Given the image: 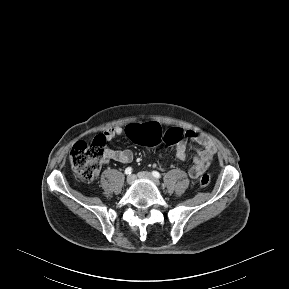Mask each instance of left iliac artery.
Instances as JSON below:
<instances>
[{
	"instance_id": "44dca946",
	"label": "left iliac artery",
	"mask_w": 289,
	"mask_h": 289,
	"mask_svg": "<svg viewBox=\"0 0 289 289\" xmlns=\"http://www.w3.org/2000/svg\"><path fill=\"white\" fill-rule=\"evenodd\" d=\"M152 175H153L155 178H157V179L161 178L160 173L157 172V171H152Z\"/></svg>"
}]
</instances>
